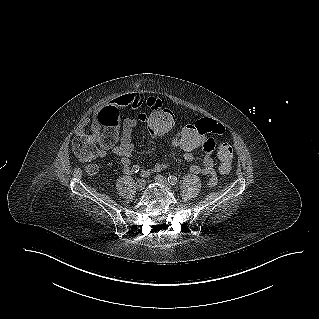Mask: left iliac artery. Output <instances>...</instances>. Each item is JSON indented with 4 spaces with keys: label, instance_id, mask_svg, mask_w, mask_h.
<instances>
[{
    "label": "left iliac artery",
    "instance_id": "obj_1",
    "mask_svg": "<svg viewBox=\"0 0 319 319\" xmlns=\"http://www.w3.org/2000/svg\"><path fill=\"white\" fill-rule=\"evenodd\" d=\"M167 180L171 185H176L178 183L177 177L172 175H169Z\"/></svg>",
    "mask_w": 319,
    "mask_h": 319
}]
</instances>
